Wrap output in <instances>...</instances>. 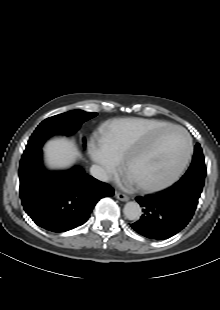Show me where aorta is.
I'll list each match as a JSON object with an SVG mask.
<instances>
[{
	"label": "aorta",
	"instance_id": "obj_1",
	"mask_svg": "<svg viewBox=\"0 0 220 310\" xmlns=\"http://www.w3.org/2000/svg\"><path fill=\"white\" fill-rule=\"evenodd\" d=\"M123 213L129 220H138L142 214V211L137 202L130 201L125 204Z\"/></svg>",
	"mask_w": 220,
	"mask_h": 310
}]
</instances>
